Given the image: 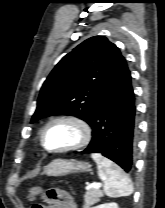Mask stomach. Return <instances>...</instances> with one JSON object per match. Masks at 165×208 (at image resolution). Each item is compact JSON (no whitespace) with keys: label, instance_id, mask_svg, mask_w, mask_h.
<instances>
[{"label":"stomach","instance_id":"0dacf381","mask_svg":"<svg viewBox=\"0 0 165 208\" xmlns=\"http://www.w3.org/2000/svg\"><path fill=\"white\" fill-rule=\"evenodd\" d=\"M90 164L76 160L55 159L45 169L48 176H64L70 173L90 171Z\"/></svg>","mask_w":165,"mask_h":208}]
</instances>
